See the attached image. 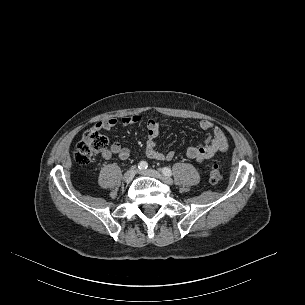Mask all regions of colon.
Returning a JSON list of instances; mask_svg holds the SVG:
<instances>
[{"label": "colon", "mask_w": 305, "mask_h": 305, "mask_svg": "<svg viewBox=\"0 0 305 305\" xmlns=\"http://www.w3.org/2000/svg\"><path fill=\"white\" fill-rule=\"evenodd\" d=\"M107 148L108 141L106 137L96 128H90L83 133L74 152V158L80 164H88L95 155L105 152ZM209 180L212 184L220 182L221 171L217 164L211 167Z\"/></svg>", "instance_id": "5ec220e1"}]
</instances>
